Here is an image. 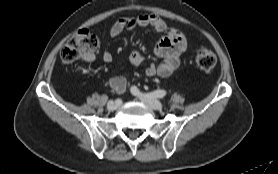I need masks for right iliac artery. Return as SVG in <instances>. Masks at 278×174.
Here are the masks:
<instances>
[{"instance_id":"1","label":"right iliac artery","mask_w":278,"mask_h":174,"mask_svg":"<svg viewBox=\"0 0 278 174\" xmlns=\"http://www.w3.org/2000/svg\"><path fill=\"white\" fill-rule=\"evenodd\" d=\"M117 104H121V100L120 99H117L116 101H115Z\"/></svg>"}]
</instances>
